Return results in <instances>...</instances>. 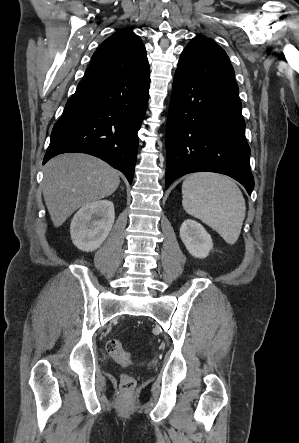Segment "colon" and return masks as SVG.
Returning a JSON list of instances; mask_svg holds the SVG:
<instances>
[{"label": "colon", "instance_id": "5ec220e1", "mask_svg": "<svg viewBox=\"0 0 299 443\" xmlns=\"http://www.w3.org/2000/svg\"><path fill=\"white\" fill-rule=\"evenodd\" d=\"M107 354L118 364L127 366L131 362V355L128 351L124 350L120 342L111 338L107 340L105 344ZM136 387V380L131 375H123L120 381V389L123 393L129 394Z\"/></svg>", "mask_w": 299, "mask_h": 443}]
</instances>
